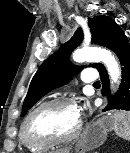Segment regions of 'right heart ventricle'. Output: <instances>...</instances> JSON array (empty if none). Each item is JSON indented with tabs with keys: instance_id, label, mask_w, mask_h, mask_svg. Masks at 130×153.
Here are the masks:
<instances>
[{
	"instance_id": "right-heart-ventricle-1",
	"label": "right heart ventricle",
	"mask_w": 130,
	"mask_h": 153,
	"mask_svg": "<svg viewBox=\"0 0 130 153\" xmlns=\"http://www.w3.org/2000/svg\"><path fill=\"white\" fill-rule=\"evenodd\" d=\"M19 139H20L21 144L31 151L40 152V151H43L47 148V146H35V145H31L28 142H26L23 135H22L21 130L19 133Z\"/></svg>"
}]
</instances>
